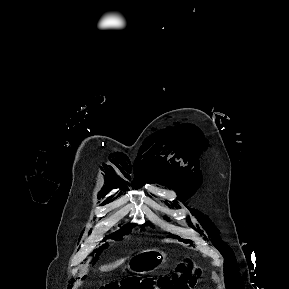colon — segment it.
Listing matches in <instances>:
<instances>
[{
  "label": "colon",
  "mask_w": 289,
  "mask_h": 289,
  "mask_svg": "<svg viewBox=\"0 0 289 289\" xmlns=\"http://www.w3.org/2000/svg\"><path fill=\"white\" fill-rule=\"evenodd\" d=\"M201 275L200 269L193 268L191 262L186 261L157 283L146 278L128 277L109 282L100 289H193Z\"/></svg>",
  "instance_id": "colon-1"
}]
</instances>
